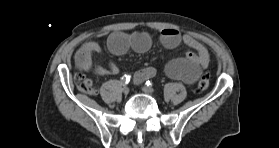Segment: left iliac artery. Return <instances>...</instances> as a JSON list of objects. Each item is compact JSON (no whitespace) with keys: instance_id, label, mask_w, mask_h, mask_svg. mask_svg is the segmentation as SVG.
<instances>
[{"instance_id":"left-iliac-artery-1","label":"left iliac artery","mask_w":279,"mask_h":148,"mask_svg":"<svg viewBox=\"0 0 279 148\" xmlns=\"http://www.w3.org/2000/svg\"><path fill=\"white\" fill-rule=\"evenodd\" d=\"M146 86H147V87H152V82L147 81V82H146Z\"/></svg>"}]
</instances>
